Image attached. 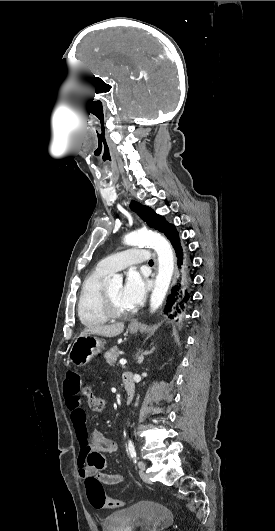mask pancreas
Returning <instances> with one entry per match:
<instances>
[{
    "label": "pancreas",
    "mask_w": 275,
    "mask_h": 531,
    "mask_svg": "<svg viewBox=\"0 0 275 531\" xmlns=\"http://www.w3.org/2000/svg\"><path fill=\"white\" fill-rule=\"evenodd\" d=\"M119 353L120 351L116 345L115 347H111V349L105 353L104 359H106L108 365H113V363H116Z\"/></svg>",
    "instance_id": "obj_1"
}]
</instances>
